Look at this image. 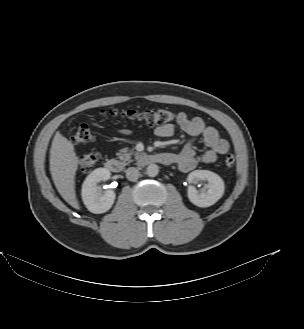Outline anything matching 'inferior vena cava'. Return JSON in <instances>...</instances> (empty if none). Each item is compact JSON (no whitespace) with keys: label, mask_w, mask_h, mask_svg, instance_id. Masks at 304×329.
Returning <instances> with one entry per match:
<instances>
[{"label":"inferior vena cava","mask_w":304,"mask_h":329,"mask_svg":"<svg viewBox=\"0 0 304 329\" xmlns=\"http://www.w3.org/2000/svg\"><path fill=\"white\" fill-rule=\"evenodd\" d=\"M139 171L135 167H130L126 170V177L130 181H136L139 178Z\"/></svg>","instance_id":"1"}]
</instances>
